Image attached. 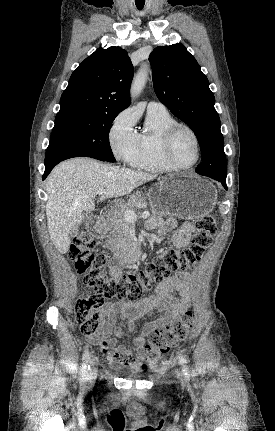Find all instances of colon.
I'll list each match as a JSON object with an SVG mask.
<instances>
[{
	"mask_svg": "<svg viewBox=\"0 0 275 431\" xmlns=\"http://www.w3.org/2000/svg\"><path fill=\"white\" fill-rule=\"evenodd\" d=\"M195 233L191 245L182 248H167L156 254L144 267L111 276L106 273L107 259L103 253L95 252V240L91 234L82 232L73 240L70 257L85 283L95 294L79 299L74 307L75 321L83 335L93 337L104 326L103 306L105 299L133 300L153 284L161 283L172 273L193 268L201 259L216 234L217 227L212 215H204L195 222ZM193 325L190 311L184 312L172 323L151 330L147 334L148 344L143 359L156 363L160 356L184 341Z\"/></svg>",
	"mask_w": 275,
	"mask_h": 431,
	"instance_id": "colon-1",
	"label": "colon"
}]
</instances>
